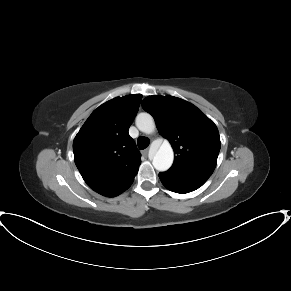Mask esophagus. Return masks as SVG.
I'll list each match as a JSON object with an SVG mask.
<instances>
[{
	"instance_id": "34e87169",
	"label": "esophagus",
	"mask_w": 291,
	"mask_h": 291,
	"mask_svg": "<svg viewBox=\"0 0 291 291\" xmlns=\"http://www.w3.org/2000/svg\"><path fill=\"white\" fill-rule=\"evenodd\" d=\"M148 151H149V150H148V149H146V150L144 151V153H145V154H148Z\"/></svg>"
}]
</instances>
